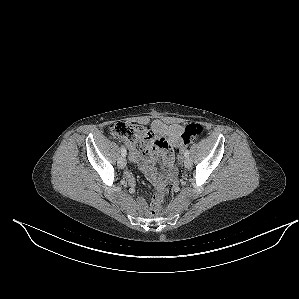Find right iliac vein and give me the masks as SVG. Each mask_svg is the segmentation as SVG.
I'll return each instance as SVG.
<instances>
[{"instance_id":"1","label":"right iliac vein","mask_w":299,"mask_h":299,"mask_svg":"<svg viewBox=\"0 0 299 299\" xmlns=\"http://www.w3.org/2000/svg\"><path fill=\"white\" fill-rule=\"evenodd\" d=\"M118 167L120 169H123L125 166H126V159H125V156H121L119 159H118Z\"/></svg>"}]
</instances>
